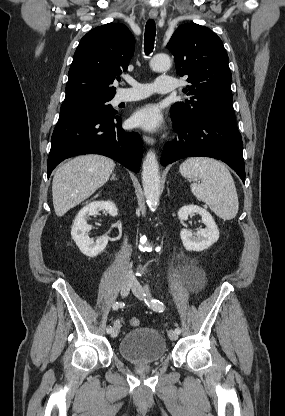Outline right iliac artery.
<instances>
[{
    "label": "right iliac artery",
    "instance_id": "1",
    "mask_svg": "<svg viewBox=\"0 0 285 416\" xmlns=\"http://www.w3.org/2000/svg\"><path fill=\"white\" fill-rule=\"evenodd\" d=\"M124 305V303H122V302H115L113 305H112V308H113V310H118L119 309V307H122ZM106 330H107V333H110L111 331H112V327L111 326H108L107 328H106Z\"/></svg>",
    "mask_w": 285,
    "mask_h": 416
}]
</instances>
